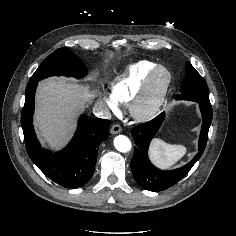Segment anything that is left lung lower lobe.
Instances as JSON below:
<instances>
[{"label":"left lung lower lobe","mask_w":236,"mask_h":236,"mask_svg":"<svg viewBox=\"0 0 236 236\" xmlns=\"http://www.w3.org/2000/svg\"><path fill=\"white\" fill-rule=\"evenodd\" d=\"M199 106L203 117L199 138V152L188 164L181 168L171 171L159 170L154 167L148 159V147L150 141L161 125L165 116L164 113L158 115L147 123L140 124L133 128L131 134L136 146L130 166L134 179L142 188L149 191L166 190L179 182L202 156L206 147L213 112L211 104L199 103Z\"/></svg>","instance_id":"left-lung-lower-lobe-1"}]
</instances>
